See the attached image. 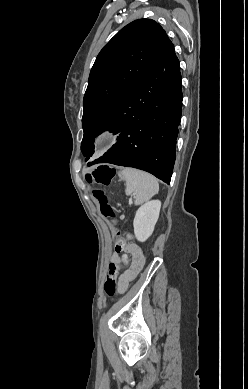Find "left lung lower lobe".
<instances>
[{"mask_svg": "<svg viewBox=\"0 0 248 389\" xmlns=\"http://www.w3.org/2000/svg\"><path fill=\"white\" fill-rule=\"evenodd\" d=\"M179 60L172 44L108 117L102 131L120 133L103 156L90 162L147 171L170 183L182 113Z\"/></svg>", "mask_w": 248, "mask_h": 389, "instance_id": "left-lung-lower-lobe-1", "label": "left lung lower lobe"}]
</instances>
